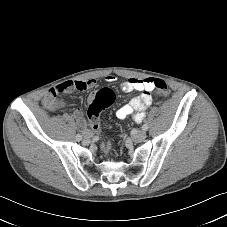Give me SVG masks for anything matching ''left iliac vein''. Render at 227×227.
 <instances>
[{"instance_id": "obj_1", "label": "left iliac vein", "mask_w": 227, "mask_h": 227, "mask_svg": "<svg viewBox=\"0 0 227 227\" xmlns=\"http://www.w3.org/2000/svg\"><path fill=\"white\" fill-rule=\"evenodd\" d=\"M146 137V132L144 130H140L133 136V139L135 142H142L145 140Z\"/></svg>"}]
</instances>
